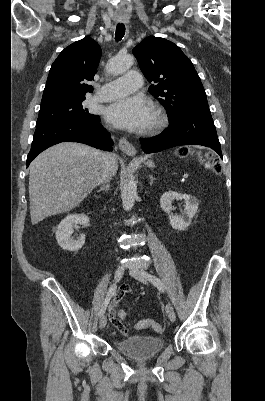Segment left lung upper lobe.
Segmentation results:
<instances>
[{
  "label": "left lung upper lobe",
  "mask_w": 265,
  "mask_h": 401,
  "mask_svg": "<svg viewBox=\"0 0 265 401\" xmlns=\"http://www.w3.org/2000/svg\"><path fill=\"white\" fill-rule=\"evenodd\" d=\"M139 66L150 81L149 92L167 110L170 120L189 112H210L206 93L190 59L173 42L147 37L134 49Z\"/></svg>",
  "instance_id": "left-lung-upper-lobe-1"
}]
</instances>
